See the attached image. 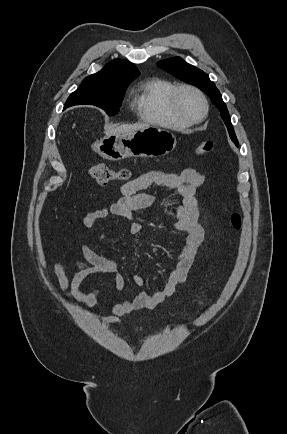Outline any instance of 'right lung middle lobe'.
Segmentation results:
<instances>
[{"instance_id":"obj_1","label":"right lung middle lobe","mask_w":287,"mask_h":434,"mask_svg":"<svg viewBox=\"0 0 287 434\" xmlns=\"http://www.w3.org/2000/svg\"><path fill=\"white\" fill-rule=\"evenodd\" d=\"M128 82L84 79L80 87L67 99L64 109L73 105L90 104L102 108L108 115L118 113Z\"/></svg>"}]
</instances>
